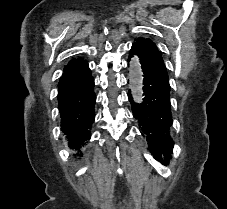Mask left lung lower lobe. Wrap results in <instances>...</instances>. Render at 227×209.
Segmentation results:
<instances>
[{"label": "left lung lower lobe", "mask_w": 227, "mask_h": 209, "mask_svg": "<svg viewBox=\"0 0 227 209\" xmlns=\"http://www.w3.org/2000/svg\"><path fill=\"white\" fill-rule=\"evenodd\" d=\"M134 54L139 57L142 66L145 98L141 104L135 103L129 90V101L133 116L138 119L146 134L150 152L157 160H161V155L171 154L174 146L170 135L172 114L168 74L161 66L140 55L133 46L128 61Z\"/></svg>", "instance_id": "left-lung-lower-lobe-1"}]
</instances>
